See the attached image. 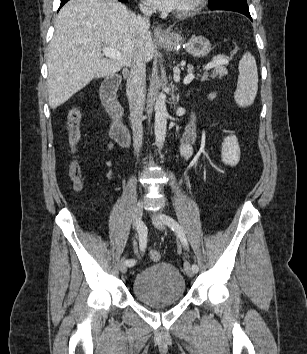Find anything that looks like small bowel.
I'll use <instances>...</instances> for the list:
<instances>
[{
  "instance_id": "obj_1",
  "label": "small bowel",
  "mask_w": 307,
  "mask_h": 354,
  "mask_svg": "<svg viewBox=\"0 0 307 354\" xmlns=\"http://www.w3.org/2000/svg\"><path fill=\"white\" fill-rule=\"evenodd\" d=\"M195 138V127L193 124H189L186 127L184 135L182 137V143L180 146V152L184 159H189L192 155V143ZM117 142L114 137L109 142L107 146V150L110 151L114 147V143ZM240 155V149L238 145V141L235 135L228 134L223 141L222 145V160L227 166H234L238 160Z\"/></svg>"
}]
</instances>
